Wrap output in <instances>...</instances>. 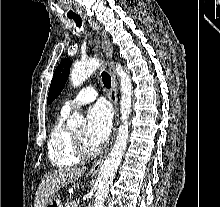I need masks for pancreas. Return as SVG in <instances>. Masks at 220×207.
I'll return each instance as SVG.
<instances>
[{"label":"pancreas","instance_id":"obj_1","mask_svg":"<svg viewBox=\"0 0 220 207\" xmlns=\"http://www.w3.org/2000/svg\"><path fill=\"white\" fill-rule=\"evenodd\" d=\"M65 207H73V202H72L71 198H68V199H67V202H66V204H65Z\"/></svg>","mask_w":220,"mask_h":207}]
</instances>
